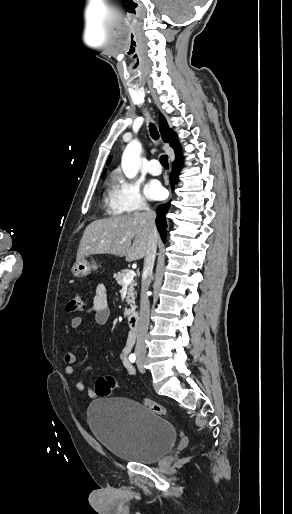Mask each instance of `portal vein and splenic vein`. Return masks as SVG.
<instances>
[{
	"mask_svg": "<svg viewBox=\"0 0 292 514\" xmlns=\"http://www.w3.org/2000/svg\"><path fill=\"white\" fill-rule=\"evenodd\" d=\"M134 276H135V272H133V270H130V272H128V274H126V276L124 278V284H126V286H128V284H130V282H132Z\"/></svg>",
	"mask_w": 292,
	"mask_h": 514,
	"instance_id": "18ae733b",
	"label": "portal vein and splenic vein"
}]
</instances>
